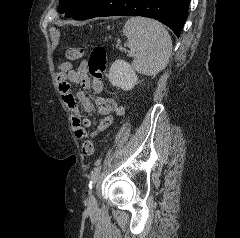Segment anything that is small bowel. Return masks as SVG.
<instances>
[{"mask_svg": "<svg viewBox=\"0 0 240 238\" xmlns=\"http://www.w3.org/2000/svg\"><path fill=\"white\" fill-rule=\"evenodd\" d=\"M56 78L62 99L72 112V126L78 138H83L86 135L85 128L92 126V120L81 114L78 103L81 104L82 109L86 113L92 112L96 106L98 112L103 116L97 132L103 131L111 125L113 115L121 116L124 114L125 109L123 106L117 104L112 98L100 96L103 90V83L101 80L93 79L91 81L85 61L77 69H74L68 62L61 63L58 66ZM69 82L77 83L83 89L92 88L96 94L94 101L90 100L83 91L77 92L76 96H74L71 93Z\"/></svg>", "mask_w": 240, "mask_h": 238, "instance_id": "small-bowel-1", "label": "small bowel"}]
</instances>
